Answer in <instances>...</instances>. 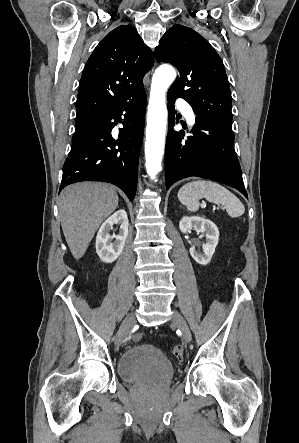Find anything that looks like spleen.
<instances>
[{
    "label": "spleen",
    "instance_id": "obj_1",
    "mask_svg": "<svg viewBox=\"0 0 299 443\" xmlns=\"http://www.w3.org/2000/svg\"><path fill=\"white\" fill-rule=\"evenodd\" d=\"M202 198L223 205L228 215L233 218L239 217L245 212L242 202L232 192L216 182L192 181L183 185L178 191L179 201L190 212H196L199 209V200Z\"/></svg>",
    "mask_w": 299,
    "mask_h": 443
}]
</instances>
